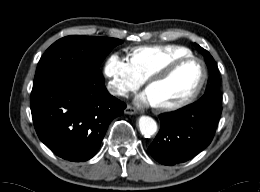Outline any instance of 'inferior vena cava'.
<instances>
[{
  "instance_id": "1",
  "label": "inferior vena cava",
  "mask_w": 260,
  "mask_h": 192,
  "mask_svg": "<svg viewBox=\"0 0 260 192\" xmlns=\"http://www.w3.org/2000/svg\"><path fill=\"white\" fill-rule=\"evenodd\" d=\"M109 92L112 95H125L126 93L121 90L119 87H117L116 85H109L108 86Z\"/></svg>"
}]
</instances>
